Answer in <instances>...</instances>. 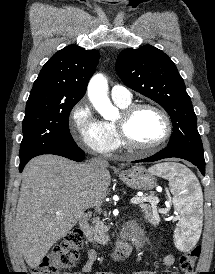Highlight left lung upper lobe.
<instances>
[{
	"label": "left lung upper lobe",
	"instance_id": "1",
	"mask_svg": "<svg viewBox=\"0 0 215 274\" xmlns=\"http://www.w3.org/2000/svg\"><path fill=\"white\" fill-rule=\"evenodd\" d=\"M116 70L126 86L167 111L173 123L169 147L203 151L191 99L168 55L151 45L126 49L117 58Z\"/></svg>",
	"mask_w": 215,
	"mask_h": 274
}]
</instances>
